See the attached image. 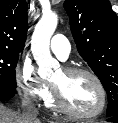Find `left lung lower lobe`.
Wrapping results in <instances>:
<instances>
[{
	"label": "left lung lower lobe",
	"instance_id": "left-lung-lower-lobe-1",
	"mask_svg": "<svg viewBox=\"0 0 118 123\" xmlns=\"http://www.w3.org/2000/svg\"><path fill=\"white\" fill-rule=\"evenodd\" d=\"M109 122L118 123V115L111 116L107 119Z\"/></svg>",
	"mask_w": 118,
	"mask_h": 123
}]
</instances>
